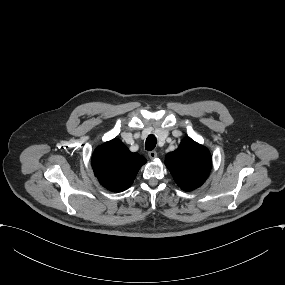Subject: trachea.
<instances>
[{"instance_id":"trachea-1","label":"trachea","mask_w":285,"mask_h":285,"mask_svg":"<svg viewBox=\"0 0 285 285\" xmlns=\"http://www.w3.org/2000/svg\"><path fill=\"white\" fill-rule=\"evenodd\" d=\"M156 144H157V139L154 135L151 134L146 139L145 148L146 150L151 151L155 148Z\"/></svg>"}]
</instances>
